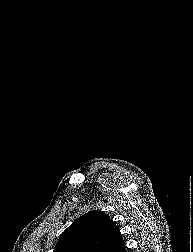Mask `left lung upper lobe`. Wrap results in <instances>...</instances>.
I'll use <instances>...</instances> for the list:
<instances>
[{
  "mask_svg": "<svg viewBox=\"0 0 193 252\" xmlns=\"http://www.w3.org/2000/svg\"><path fill=\"white\" fill-rule=\"evenodd\" d=\"M53 252H125V243L107 214L89 211L61 234Z\"/></svg>",
  "mask_w": 193,
  "mask_h": 252,
  "instance_id": "5c2ea615",
  "label": "left lung upper lobe"
}]
</instances>
